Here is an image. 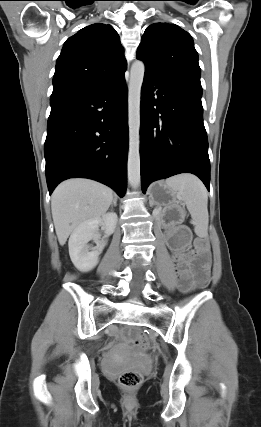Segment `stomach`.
I'll list each match as a JSON object with an SVG mask.
<instances>
[{
	"mask_svg": "<svg viewBox=\"0 0 261 427\" xmlns=\"http://www.w3.org/2000/svg\"><path fill=\"white\" fill-rule=\"evenodd\" d=\"M176 196V193L164 182L154 183L149 190L150 203L157 206H174Z\"/></svg>",
	"mask_w": 261,
	"mask_h": 427,
	"instance_id": "0dacf381",
	"label": "stomach"
}]
</instances>
